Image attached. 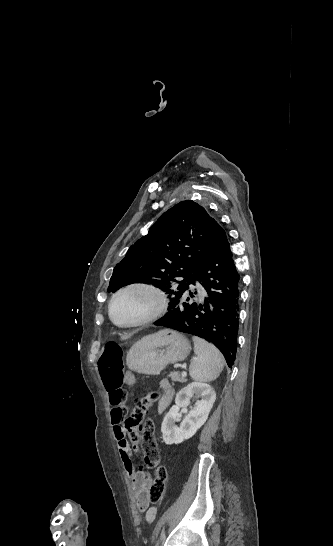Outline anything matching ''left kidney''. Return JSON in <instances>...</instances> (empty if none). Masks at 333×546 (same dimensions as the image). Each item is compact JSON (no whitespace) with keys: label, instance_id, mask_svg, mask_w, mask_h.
<instances>
[{"label":"left kidney","instance_id":"5707ae66","mask_svg":"<svg viewBox=\"0 0 333 546\" xmlns=\"http://www.w3.org/2000/svg\"><path fill=\"white\" fill-rule=\"evenodd\" d=\"M192 398L196 399L193 407L180 424V408L187 407ZM216 399L215 390L208 384L192 382L181 389L175 398V405L165 415L161 432L166 444H179L191 438L206 422Z\"/></svg>","mask_w":333,"mask_h":546}]
</instances>
